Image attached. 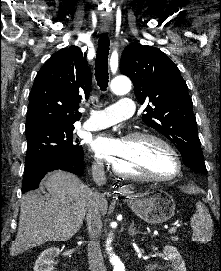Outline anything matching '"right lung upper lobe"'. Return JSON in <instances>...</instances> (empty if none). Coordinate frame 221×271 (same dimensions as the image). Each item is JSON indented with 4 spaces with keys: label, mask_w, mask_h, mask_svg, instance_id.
<instances>
[{
    "label": "right lung upper lobe",
    "mask_w": 221,
    "mask_h": 271,
    "mask_svg": "<svg viewBox=\"0 0 221 271\" xmlns=\"http://www.w3.org/2000/svg\"><path fill=\"white\" fill-rule=\"evenodd\" d=\"M91 72L79 47L63 48L37 73L31 89L26 131L46 125L73 126L82 95L91 90Z\"/></svg>",
    "instance_id": "obj_1"
}]
</instances>
